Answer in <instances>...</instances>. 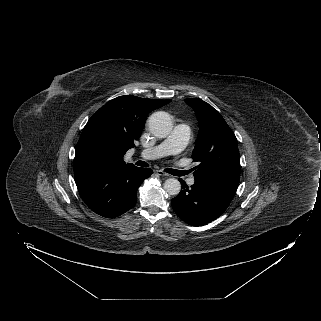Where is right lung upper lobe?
<instances>
[{
  "label": "right lung upper lobe",
  "instance_id": "cb5924a9",
  "mask_svg": "<svg viewBox=\"0 0 321 321\" xmlns=\"http://www.w3.org/2000/svg\"><path fill=\"white\" fill-rule=\"evenodd\" d=\"M171 100L145 99L133 95L120 96L96 111L84 127L79 141L98 138L111 150L107 167L134 166L125 164L124 154L134 147L140 136L145 117ZM75 177L86 174L74 169Z\"/></svg>",
  "mask_w": 321,
  "mask_h": 321
}]
</instances>
